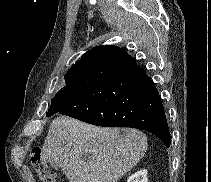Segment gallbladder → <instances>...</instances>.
Returning a JSON list of instances; mask_svg holds the SVG:
<instances>
[{"instance_id":"1","label":"gallbladder","mask_w":211,"mask_h":182,"mask_svg":"<svg viewBox=\"0 0 211 182\" xmlns=\"http://www.w3.org/2000/svg\"><path fill=\"white\" fill-rule=\"evenodd\" d=\"M85 158H89V156L85 155ZM48 162L52 168L58 169L59 165L56 162H54L53 160H48Z\"/></svg>"}]
</instances>
